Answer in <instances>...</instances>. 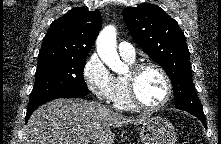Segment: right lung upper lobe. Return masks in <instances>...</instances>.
<instances>
[{"mask_svg":"<svg viewBox=\"0 0 221 144\" xmlns=\"http://www.w3.org/2000/svg\"><path fill=\"white\" fill-rule=\"evenodd\" d=\"M101 14L78 7L53 21L43 39L38 57L84 58L101 28Z\"/></svg>","mask_w":221,"mask_h":144,"instance_id":"1","label":"right lung upper lobe"}]
</instances>
